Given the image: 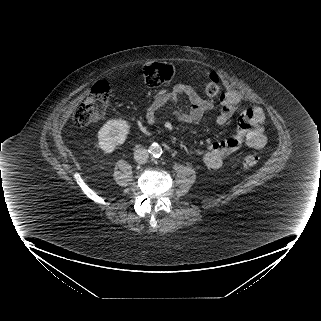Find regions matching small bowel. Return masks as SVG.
<instances>
[{
  "label": "small bowel",
  "mask_w": 321,
  "mask_h": 321,
  "mask_svg": "<svg viewBox=\"0 0 321 321\" xmlns=\"http://www.w3.org/2000/svg\"><path fill=\"white\" fill-rule=\"evenodd\" d=\"M185 96L191 103L188 112L176 111L172 117L182 123H199L212 109V102L203 97L194 88L185 84H178L170 91L154 98L147 106L145 120L148 124H154L160 119H166L162 109L167 104L176 103ZM242 104V97L235 91H228L223 94L220 100V111L215 118L216 124L228 123L238 112ZM265 113L263 109L254 105L242 110L237 118L236 133L223 141L212 142L206 150L200 153L203 164L212 170L222 166L226 157L238 150L242 145L259 150L267 143V136L264 129Z\"/></svg>",
  "instance_id": "c3829d8e"
}]
</instances>
